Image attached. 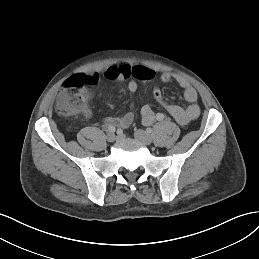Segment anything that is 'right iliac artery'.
<instances>
[{
	"label": "right iliac artery",
	"mask_w": 259,
	"mask_h": 259,
	"mask_svg": "<svg viewBox=\"0 0 259 259\" xmlns=\"http://www.w3.org/2000/svg\"><path fill=\"white\" fill-rule=\"evenodd\" d=\"M108 131H109L110 133H114V132H115V127H114L113 125H109V126H108Z\"/></svg>",
	"instance_id": "obj_1"
}]
</instances>
